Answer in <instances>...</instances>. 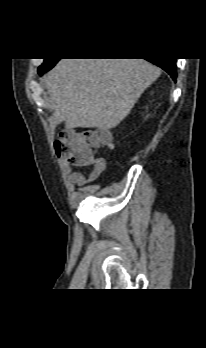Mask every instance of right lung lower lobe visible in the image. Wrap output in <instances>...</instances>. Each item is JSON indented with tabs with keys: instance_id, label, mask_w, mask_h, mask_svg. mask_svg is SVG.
I'll return each mask as SVG.
<instances>
[{
	"instance_id": "1",
	"label": "right lung lower lobe",
	"mask_w": 206,
	"mask_h": 348,
	"mask_svg": "<svg viewBox=\"0 0 206 348\" xmlns=\"http://www.w3.org/2000/svg\"><path fill=\"white\" fill-rule=\"evenodd\" d=\"M58 61V60H57ZM148 61L152 62L153 64L161 67L163 70H165L174 81H176L177 72H176V62L175 59L172 58H156V59H149ZM53 67V66H52ZM52 67L46 68L40 72H38L40 75H42L43 72H46L50 70Z\"/></svg>"
}]
</instances>
